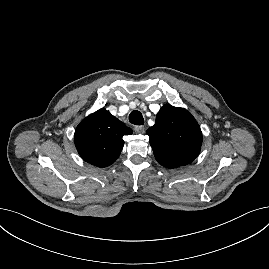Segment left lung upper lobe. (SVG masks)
<instances>
[{"instance_id":"obj_1","label":"left lung upper lobe","mask_w":269,"mask_h":269,"mask_svg":"<svg viewBox=\"0 0 269 269\" xmlns=\"http://www.w3.org/2000/svg\"><path fill=\"white\" fill-rule=\"evenodd\" d=\"M147 134L156 160L167 168L189 164L200 152V126L184 108L167 104L161 107Z\"/></svg>"}]
</instances>
